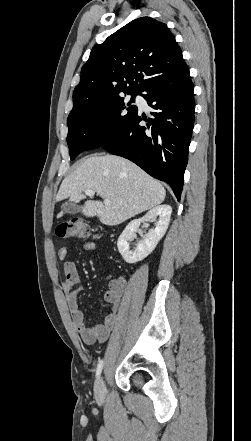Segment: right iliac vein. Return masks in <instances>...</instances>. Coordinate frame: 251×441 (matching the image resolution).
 <instances>
[{"label":"right iliac vein","mask_w":251,"mask_h":441,"mask_svg":"<svg viewBox=\"0 0 251 441\" xmlns=\"http://www.w3.org/2000/svg\"><path fill=\"white\" fill-rule=\"evenodd\" d=\"M95 396L98 400H102L105 396V383L103 377H99L94 385Z\"/></svg>","instance_id":"obj_1"}]
</instances>
